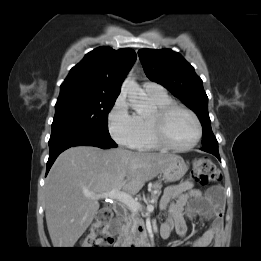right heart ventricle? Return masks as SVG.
Segmentation results:
<instances>
[{
    "label": "right heart ventricle",
    "instance_id": "1",
    "mask_svg": "<svg viewBox=\"0 0 261 261\" xmlns=\"http://www.w3.org/2000/svg\"><path fill=\"white\" fill-rule=\"evenodd\" d=\"M146 94L149 102L153 106V109L161 108L172 102V99L165 92L161 94ZM134 117L138 125V137L133 147L138 150L158 149L159 146L155 143L151 134L149 114L137 112L134 114Z\"/></svg>",
    "mask_w": 261,
    "mask_h": 261
}]
</instances>
